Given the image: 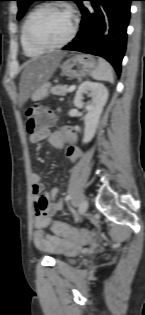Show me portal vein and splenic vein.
I'll use <instances>...</instances> for the list:
<instances>
[{"label": "portal vein and splenic vein", "mask_w": 145, "mask_h": 315, "mask_svg": "<svg viewBox=\"0 0 145 315\" xmlns=\"http://www.w3.org/2000/svg\"><path fill=\"white\" fill-rule=\"evenodd\" d=\"M76 88L75 85H72L68 88L67 92H72Z\"/></svg>", "instance_id": "1"}]
</instances>
